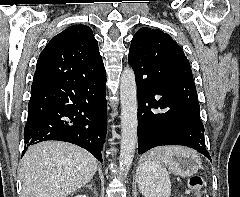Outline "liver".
I'll return each instance as SVG.
<instances>
[{"instance_id":"6515ba94","label":"liver","mask_w":240,"mask_h":197,"mask_svg":"<svg viewBox=\"0 0 240 197\" xmlns=\"http://www.w3.org/2000/svg\"><path fill=\"white\" fill-rule=\"evenodd\" d=\"M97 168V159L77 145L40 142L20 162V197H66L90 182Z\"/></svg>"}]
</instances>
